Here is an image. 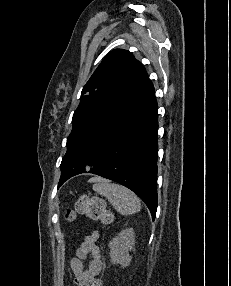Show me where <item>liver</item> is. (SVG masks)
<instances>
[{
	"label": "liver",
	"mask_w": 231,
	"mask_h": 286,
	"mask_svg": "<svg viewBox=\"0 0 231 286\" xmlns=\"http://www.w3.org/2000/svg\"><path fill=\"white\" fill-rule=\"evenodd\" d=\"M96 180H98V178L92 179V181H96Z\"/></svg>",
	"instance_id": "6515ba94"
}]
</instances>
